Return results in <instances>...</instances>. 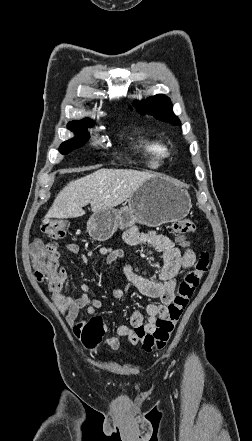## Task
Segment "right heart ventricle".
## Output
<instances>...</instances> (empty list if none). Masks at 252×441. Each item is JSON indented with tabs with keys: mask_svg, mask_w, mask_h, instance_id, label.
Instances as JSON below:
<instances>
[{
	"mask_svg": "<svg viewBox=\"0 0 252 441\" xmlns=\"http://www.w3.org/2000/svg\"><path fill=\"white\" fill-rule=\"evenodd\" d=\"M134 149L146 158L147 166L151 169L161 167L169 155L167 146L161 140L150 138L143 132H139Z\"/></svg>",
	"mask_w": 252,
	"mask_h": 441,
	"instance_id": "right-heart-ventricle-1",
	"label": "right heart ventricle"
}]
</instances>
